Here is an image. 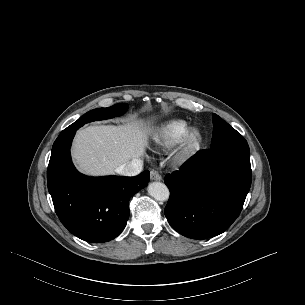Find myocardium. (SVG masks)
<instances>
[{
	"instance_id": "f54148a6",
	"label": "myocardium",
	"mask_w": 305,
	"mask_h": 305,
	"mask_svg": "<svg viewBox=\"0 0 305 305\" xmlns=\"http://www.w3.org/2000/svg\"><path fill=\"white\" fill-rule=\"evenodd\" d=\"M203 144V134L197 128L189 129L182 140L180 141L177 150L178 157L182 159H189L196 155Z\"/></svg>"
}]
</instances>
